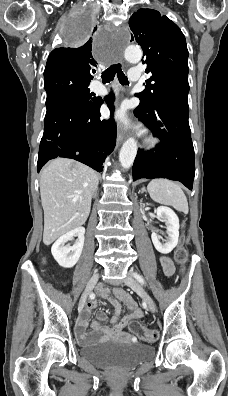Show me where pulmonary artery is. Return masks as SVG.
Returning a JSON list of instances; mask_svg holds the SVG:
<instances>
[{
  "mask_svg": "<svg viewBox=\"0 0 228 396\" xmlns=\"http://www.w3.org/2000/svg\"><path fill=\"white\" fill-rule=\"evenodd\" d=\"M140 77H141V71H140L139 68L134 67V68H131V69H130V71H129V78H130V80H132V81H138V80L140 79ZM96 90H97V92H98L100 95H106V94H107V91H106L103 87H101L100 85H98V86L96 87Z\"/></svg>",
  "mask_w": 228,
  "mask_h": 396,
  "instance_id": "obj_1",
  "label": "pulmonary artery"
}]
</instances>
